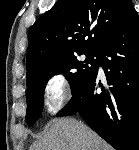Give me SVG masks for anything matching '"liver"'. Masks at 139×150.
<instances>
[{
  "label": "liver",
  "mask_w": 139,
  "mask_h": 150,
  "mask_svg": "<svg viewBox=\"0 0 139 150\" xmlns=\"http://www.w3.org/2000/svg\"><path fill=\"white\" fill-rule=\"evenodd\" d=\"M31 150H112L94 131L75 119L60 118L34 143Z\"/></svg>",
  "instance_id": "obj_1"
}]
</instances>
